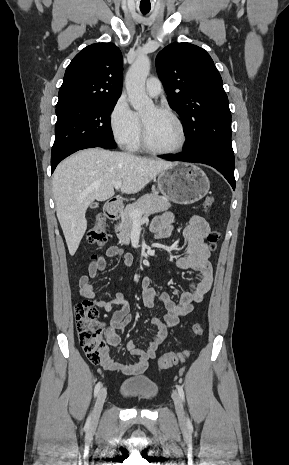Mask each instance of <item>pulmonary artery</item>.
Instances as JSON below:
<instances>
[{"mask_svg": "<svg viewBox=\"0 0 289 465\" xmlns=\"http://www.w3.org/2000/svg\"><path fill=\"white\" fill-rule=\"evenodd\" d=\"M161 82L156 77H150L146 81V91L151 97H157L161 93Z\"/></svg>", "mask_w": 289, "mask_h": 465, "instance_id": "e3ab8cb5", "label": "pulmonary artery"}]
</instances>
